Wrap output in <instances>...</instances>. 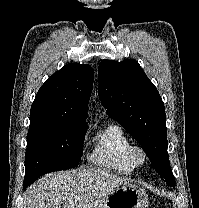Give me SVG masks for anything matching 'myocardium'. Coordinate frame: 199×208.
Listing matches in <instances>:
<instances>
[{"instance_id":"myocardium-1","label":"myocardium","mask_w":199,"mask_h":208,"mask_svg":"<svg viewBox=\"0 0 199 208\" xmlns=\"http://www.w3.org/2000/svg\"><path fill=\"white\" fill-rule=\"evenodd\" d=\"M127 158L134 168L142 167L147 162V153L140 144L131 143L127 149Z\"/></svg>"}]
</instances>
